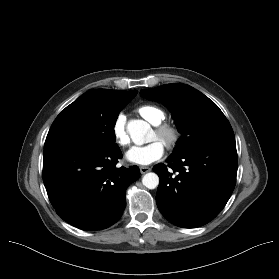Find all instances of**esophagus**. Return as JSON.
Wrapping results in <instances>:
<instances>
[{
	"label": "esophagus",
	"instance_id": "1",
	"mask_svg": "<svg viewBox=\"0 0 279 279\" xmlns=\"http://www.w3.org/2000/svg\"><path fill=\"white\" fill-rule=\"evenodd\" d=\"M151 171V168L150 167H147V166H141L140 167V172L141 174H145L147 172Z\"/></svg>",
	"mask_w": 279,
	"mask_h": 279
}]
</instances>
